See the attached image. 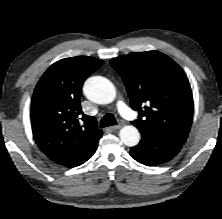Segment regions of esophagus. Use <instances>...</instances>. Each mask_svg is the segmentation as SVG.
Instances as JSON below:
<instances>
[{"instance_id":"obj_1","label":"esophagus","mask_w":222,"mask_h":219,"mask_svg":"<svg viewBox=\"0 0 222 219\" xmlns=\"http://www.w3.org/2000/svg\"><path fill=\"white\" fill-rule=\"evenodd\" d=\"M123 126H124L123 123H119L118 125L112 126L111 129H112V130H117V129L122 128Z\"/></svg>"}]
</instances>
